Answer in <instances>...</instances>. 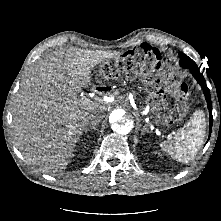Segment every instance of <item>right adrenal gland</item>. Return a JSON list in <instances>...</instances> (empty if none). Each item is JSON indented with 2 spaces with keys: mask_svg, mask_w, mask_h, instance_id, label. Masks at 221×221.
I'll return each instance as SVG.
<instances>
[{
  "mask_svg": "<svg viewBox=\"0 0 221 221\" xmlns=\"http://www.w3.org/2000/svg\"><path fill=\"white\" fill-rule=\"evenodd\" d=\"M90 130H96V126H89V128L86 129V133Z\"/></svg>",
  "mask_w": 221,
  "mask_h": 221,
  "instance_id": "right-adrenal-gland-1",
  "label": "right adrenal gland"
}]
</instances>
